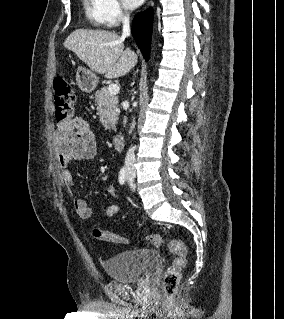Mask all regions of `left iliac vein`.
Here are the masks:
<instances>
[{
    "mask_svg": "<svg viewBox=\"0 0 284 319\" xmlns=\"http://www.w3.org/2000/svg\"><path fill=\"white\" fill-rule=\"evenodd\" d=\"M128 183H129V186L132 188L133 184H132V180L128 177Z\"/></svg>",
    "mask_w": 284,
    "mask_h": 319,
    "instance_id": "obj_1",
    "label": "left iliac vein"
}]
</instances>
